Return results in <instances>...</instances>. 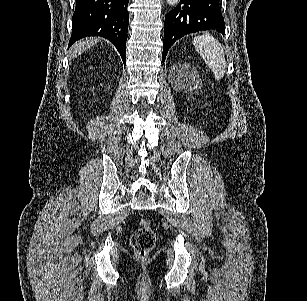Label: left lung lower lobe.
I'll list each match as a JSON object with an SVG mask.
<instances>
[{"label": "left lung lower lobe", "instance_id": "1", "mask_svg": "<svg viewBox=\"0 0 307 301\" xmlns=\"http://www.w3.org/2000/svg\"><path fill=\"white\" fill-rule=\"evenodd\" d=\"M210 29L225 34L219 0H180L179 5L165 16L162 61L176 40L189 33Z\"/></svg>", "mask_w": 307, "mask_h": 301}]
</instances>
